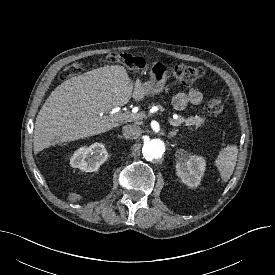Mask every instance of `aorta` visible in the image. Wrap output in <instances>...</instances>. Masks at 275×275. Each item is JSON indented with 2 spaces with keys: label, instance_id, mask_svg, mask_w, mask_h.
Returning a JSON list of instances; mask_svg holds the SVG:
<instances>
[{
  "label": "aorta",
  "instance_id": "762f6f07",
  "mask_svg": "<svg viewBox=\"0 0 275 275\" xmlns=\"http://www.w3.org/2000/svg\"><path fill=\"white\" fill-rule=\"evenodd\" d=\"M165 152V143L161 139H150L145 142L142 148L143 156L146 160L152 161L161 158Z\"/></svg>",
  "mask_w": 275,
  "mask_h": 275
}]
</instances>
